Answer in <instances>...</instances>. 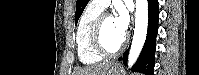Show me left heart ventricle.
Listing matches in <instances>:
<instances>
[{"label":"left heart ventricle","mask_w":199,"mask_h":75,"mask_svg":"<svg viewBox=\"0 0 199 75\" xmlns=\"http://www.w3.org/2000/svg\"><path fill=\"white\" fill-rule=\"evenodd\" d=\"M102 42L108 49H115L120 45L123 40V36L120 35L115 27L113 17H107L102 26Z\"/></svg>","instance_id":"1"}]
</instances>
